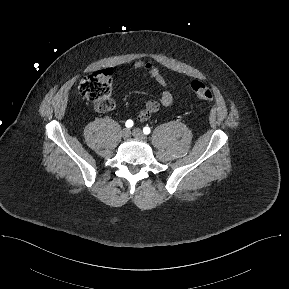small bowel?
<instances>
[{
	"label": "small bowel",
	"instance_id": "obj_1",
	"mask_svg": "<svg viewBox=\"0 0 289 289\" xmlns=\"http://www.w3.org/2000/svg\"><path fill=\"white\" fill-rule=\"evenodd\" d=\"M133 69H144L158 84L165 88L160 101L150 100L136 116L138 121H145L151 115L157 113L161 107H169L174 101L175 86L164 78L160 70L151 62L136 60L130 63Z\"/></svg>",
	"mask_w": 289,
	"mask_h": 289
}]
</instances>
